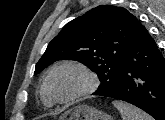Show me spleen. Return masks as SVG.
<instances>
[{"mask_svg":"<svg viewBox=\"0 0 165 120\" xmlns=\"http://www.w3.org/2000/svg\"><path fill=\"white\" fill-rule=\"evenodd\" d=\"M113 105L120 112L122 120H153L150 115L131 104L115 100Z\"/></svg>","mask_w":165,"mask_h":120,"instance_id":"spleen-1","label":"spleen"}]
</instances>
